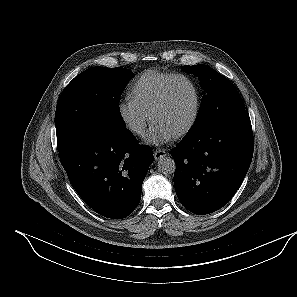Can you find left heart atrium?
<instances>
[{
	"mask_svg": "<svg viewBox=\"0 0 297 297\" xmlns=\"http://www.w3.org/2000/svg\"><path fill=\"white\" fill-rule=\"evenodd\" d=\"M172 138V133L157 123H152L146 134V141L156 145L167 143Z\"/></svg>",
	"mask_w": 297,
	"mask_h": 297,
	"instance_id": "left-heart-atrium-1",
	"label": "left heart atrium"
}]
</instances>
